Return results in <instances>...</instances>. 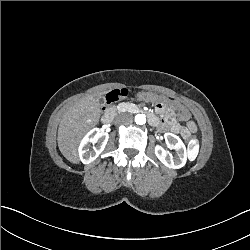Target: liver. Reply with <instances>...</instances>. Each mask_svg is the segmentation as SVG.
<instances>
[{
  "mask_svg": "<svg viewBox=\"0 0 250 250\" xmlns=\"http://www.w3.org/2000/svg\"><path fill=\"white\" fill-rule=\"evenodd\" d=\"M105 93H99L96 98L92 95L80 98L61 119L57 136L58 147L68 161L79 163L78 145L85 133L98 124L101 115L99 98Z\"/></svg>",
  "mask_w": 250,
  "mask_h": 250,
  "instance_id": "1",
  "label": "liver"
}]
</instances>
